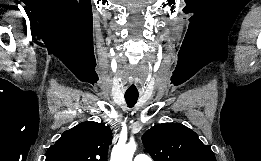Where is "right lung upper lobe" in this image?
Returning a JSON list of instances; mask_svg holds the SVG:
<instances>
[{"label":"right lung upper lobe","instance_id":"right-lung-upper-lobe-1","mask_svg":"<svg viewBox=\"0 0 261 161\" xmlns=\"http://www.w3.org/2000/svg\"><path fill=\"white\" fill-rule=\"evenodd\" d=\"M112 132L97 122H82L65 131L46 152L45 161H107Z\"/></svg>","mask_w":261,"mask_h":161}]
</instances>
